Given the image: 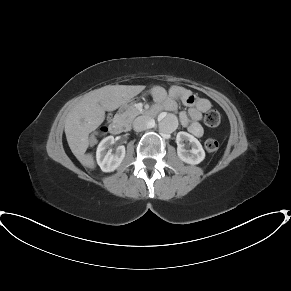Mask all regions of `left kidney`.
<instances>
[{"instance_id": "5707ae66", "label": "left kidney", "mask_w": 291, "mask_h": 291, "mask_svg": "<svg viewBox=\"0 0 291 291\" xmlns=\"http://www.w3.org/2000/svg\"><path fill=\"white\" fill-rule=\"evenodd\" d=\"M186 142H189V144L186 145ZM176 143L177 155L183 162L196 165L204 160L205 151L201 143L193 135L183 131L178 132ZM187 147H191V149L188 150Z\"/></svg>"}]
</instances>
